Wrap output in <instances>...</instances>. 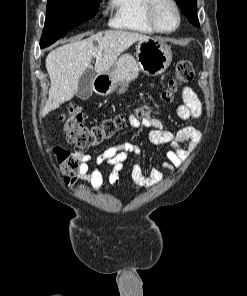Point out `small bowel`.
<instances>
[{
    "mask_svg": "<svg viewBox=\"0 0 247 296\" xmlns=\"http://www.w3.org/2000/svg\"><path fill=\"white\" fill-rule=\"evenodd\" d=\"M183 103L176 108V116L182 121H190L202 115V105L197 94L190 87L180 90ZM130 125L134 129L145 128L150 142L156 145H167L165 160L161 167L169 176H174L176 170L183 164L191 150L200 142L201 132L192 126H184L177 131H171L164 127L157 118H143L139 120L130 118ZM141 148L136 144L125 143L104 150L96 159L97 165L111 166V172L107 178L104 177L98 166L91 167L92 157L89 154H78L80 166L75 179L87 181L94 189H101L105 183L106 187H115L120 183L119 172L131 156H139ZM163 177V171L157 167H151L145 174L142 165L136 162L132 168L133 187L136 189L150 188Z\"/></svg>",
    "mask_w": 247,
    "mask_h": 296,
    "instance_id": "c3829d8e",
    "label": "small bowel"
}]
</instances>
